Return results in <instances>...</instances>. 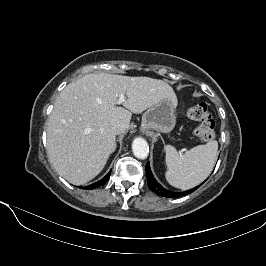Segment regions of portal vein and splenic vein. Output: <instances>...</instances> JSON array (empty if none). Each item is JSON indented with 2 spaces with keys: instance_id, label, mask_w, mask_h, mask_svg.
<instances>
[{
  "instance_id": "1",
  "label": "portal vein and splenic vein",
  "mask_w": 266,
  "mask_h": 266,
  "mask_svg": "<svg viewBox=\"0 0 266 266\" xmlns=\"http://www.w3.org/2000/svg\"><path fill=\"white\" fill-rule=\"evenodd\" d=\"M125 101H126V99H125V95H124L123 93H121V94L119 95V98H118L116 104L119 105V104L124 103Z\"/></svg>"
}]
</instances>
